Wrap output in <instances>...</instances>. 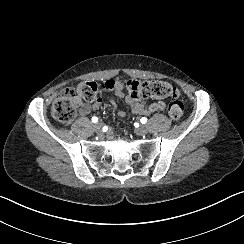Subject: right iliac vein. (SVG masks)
I'll return each mask as SVG.
<instances>
[{"instance_id": "obj_1", "label": "right iliac vein", "mask_w": 244, "mask_h": 244, "mask_svg": "<svg viewBox=\"0 0 244 244\" xmlns=\"http://www.w3.org/2000/svg\"><path fill=\"white\" fill-rule=\"evenodd\" d=\"M101 128H102V123L101 122H97L95 125H94V129L97 133H101Z\"/></svg>"}]
</instances>
